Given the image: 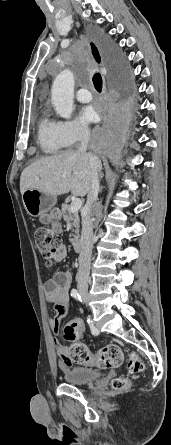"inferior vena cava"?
<instances>
[{
	"mask_svg": "<svg viewBox=\"0 0 171 445\" xmlns=\"http://www.w3.org/2000/svg\"><path fill=\"white\" fill-rule=\"evenodd\" d=\"M90 132L87 127H82L80 130V148L79 152H85L88 148ZM89 165L91 170V188L87 195V202L84 210L85 215L82 217V232L80 239V254H79V269L76 276L77 286L79 291L87 292L89 275H90V263L93 248V223L91 218L92 207L98 199L99 192V170L100 161L97 156L91 152L88 154Z\"/></svg>",
	"mask_w": 171,
	"mask_h": 445,
	"instance_id": "obj_1",
	"label": "inferior vena cava"
}]
</instances>
